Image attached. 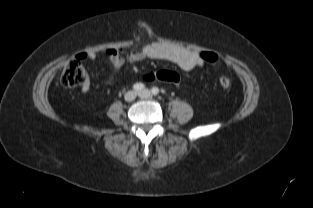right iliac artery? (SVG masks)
I'll use <instances>...</instances> for the list:
<instances>
[{
  "mask_svg": "<svg viewBox=\"0 0 313 208\" xmlns=\"http://www.w3.org/2000/svg\"><path fill=\"white\" fill-rule=\"evenodd\" d=\"M144 87L145 86L142 83H136V84L133 85V89L135 91H141L142 89H144Z\"/></svg>",
  "mask_w": 313,
  "mask_h": 208,
  "instance_id": "1",
  "label": "right iliac artery"
}]
</instances>
